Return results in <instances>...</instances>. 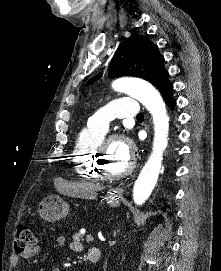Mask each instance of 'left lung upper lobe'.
<instances>
[{"instance_id":"1","label":"left lung upper lobe","mask_w":221,"mask_h":271,"mask_svg":"<svg viewBox=\"0 0 221 271\" xmlns=\"http://www.w3.org/2000/svg\"><path fill=\"white\" fill-rule=\"evenodd\" d=\"M108 76L140 77L151 82L159 91L170 83L164 68V58L157 45L142 35H135L120 44L109 64Z\"/></svg>"}]
</instances>
